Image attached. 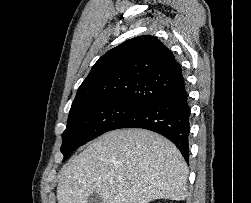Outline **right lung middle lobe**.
I'll use <instances>...</instances> for the list:
<instances>
[{"label": "right lung middle lobe", "mask_w": 251, "mask_h": 203, "mask_svg": "<svg viewBox=\"0 0 251 203\" xmlns=\"http://www.w3.org/2000/svg\"><path fill=\"white\" fill-rule=\"evenodd\" d=\"M142 105L128 102H90L72 105L62 134L63 161L76 148L112 130Z\"/></svg>", "instance_id": "1"}]
</instances>
